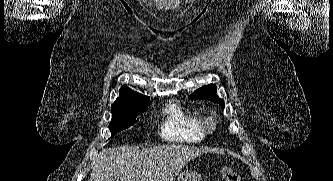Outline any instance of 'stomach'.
I'll list each match as a JSON object with an SVG mask.
<instances>
[{"label":"stomach","instance_id":"0dacf381","mask_svg":"<svg viewBox=\"0 0 333 181\" xmlns=\"http://www.w3.org/2000/svg\"><path fill=\"white\" fill-rule=\"evenodd\" d=\"M201 180L202 177L200 173L191 169L182 171L177 177V181H201Z\"/></svg>","mask_w":333,"mask_h":181}]
</instances>
